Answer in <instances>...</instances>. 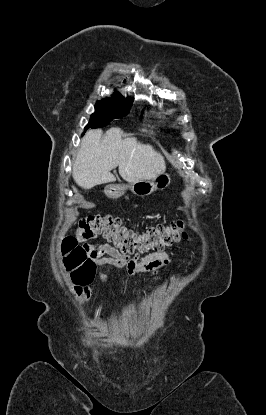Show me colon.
Here are the masks:
<instances>
[{
  "label": "colon",
  "instance_id": "obj_1",
  "mask_svg": "<svg viewBox=\"0 0 266 415\" xmlns=\"http://www.w3.org/2000/svg\"><path fill=\"white\" fill-rule=\"evenodd\" d=\"M183 228V222L176 221L137 233L124 226L117 217L90 215L78 221L74 236L63 240L64 265L76 288L80 290L93 281L97 271L94 256L88 245H81L80 242L102 236L123 254L145 253L163 250L174 242L186 238Z\"/></svg>",
  "mask_w": 266,
  "mask_h": 415
}]
</instances>
